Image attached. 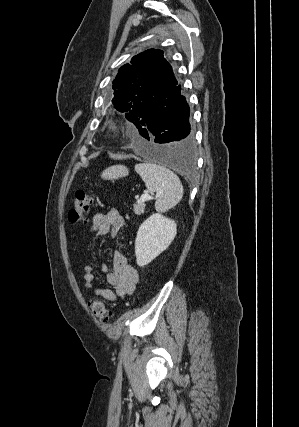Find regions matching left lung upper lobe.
Segmentation results:
<instances>
[{"mask_svg":"<svg viewBox=\"0 0 299 427\" xmlns=\"http://www.w3.org/2000/svg\"><path fill=\"white\" fill-rule=\"evenodd\" d=\"M177 84L163 51L149 49L134 56L131 64H125L119 69L113 81L115 91L112 103L134 123L140 108L162 100Z\"/></svg>","mask_w":299,"mask_h":427,"instance_id":"obj_1","label":"left lung upper lobe"}]
</instances>
